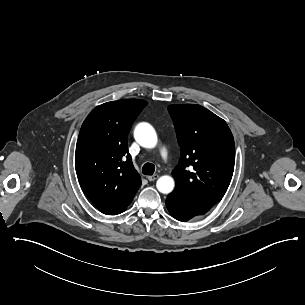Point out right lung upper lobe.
I'll use <instances>...</instances> for the list:
<instances>
[{"instance_id": "obj_1", "label": "right lung upper lobe", "mask_w": 305, "mask_h": 305, "mask_svg": "<svg viewBox=\"0 0 305 305\" xmlns=\"http://www.w3.org/2000/svg\"><path fill=\"white\" fill-rule=\"evenodd\" d=\"M146 104L138 99L107 102L93 109L82 124L75 152L76 173L85 195L104 214L126 209L141 185L127 136Z\"/></svg>"}]
</instances>
